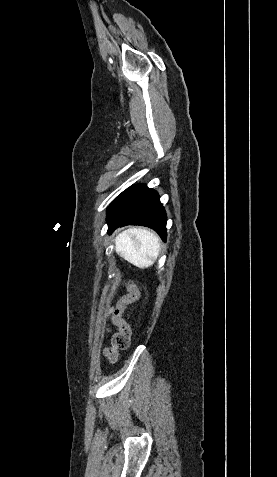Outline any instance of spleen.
I'll list each match as a JSON object with an SVG mask.
<instances>
[{
	"instance_id": "3e777b00",
	"label": "spleen",
	"mask_w": 277,
	"mask_h": 477,
	"mask_svg": "<svg viewBox=\"0 0 277 477\" xmlns=\"http://www.w3.org/2000/svg\"><path fill=\"white\" fill-rule=\"evenodd\" d=\"M115 251L133 265L148 268L159 255L160 239L149 230L129 228L116 236Z\"/></svg>"
}]
</instances>
